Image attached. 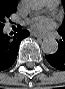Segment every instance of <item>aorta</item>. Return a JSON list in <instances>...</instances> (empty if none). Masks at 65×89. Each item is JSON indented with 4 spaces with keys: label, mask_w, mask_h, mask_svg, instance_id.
Returning <instances> with one entry per match:
<instances>
[{
    "label": "aorta",
    "mask_w": 65,
    "mask_h": 89,
    "mask_svg": "<svg viewBox=\"0 0 65 89\" xmlns=\"http://www.w3.org/2000/svg\"><path fill=\"white\" fill-rule=\"evenodd\" d=\"M28 7L32 11H39L44 7L43 0H30L28 2ZM42 50L44 53L50 55L55 54L58 50V43L54 38H46L42 42Z\"/></svg>",
    "instance_id": "1"
}]
</instances>
